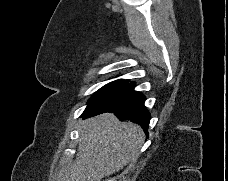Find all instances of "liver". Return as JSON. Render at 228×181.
I'll return each instance as SVG.
<instances>
[{
  "label": "liver",
  "instance_id": "obj_1",
  "mask_svg": "<svg viewBox=\"0 0 228 181\" xmlns=\"http://www.w3.org/2000/svg\"><path fill=\"white\" fill-rule=\"evenodd\" d=\"M144 141L139 125L121 123L113 113L86 119L74 165L62 167L56 181H102L138 159Z\"/></svg>",
  "mask_w": 228,
  "mask_h": 181
}]
</instances>
